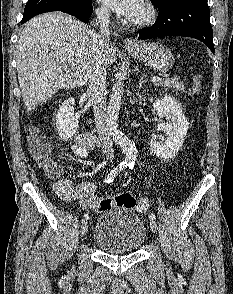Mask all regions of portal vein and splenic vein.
<instances>
[{"instance_id": "obj_1", "label": "portal vein and splenic vein", "mask_w": 233, "mask_h": 294, "mask_svg": "<svg viewBox=\"0 0 233 294\" xmlns=\"http://www.w3.org/2000/svg\"><path fill=\"white\" fill-rule=\"evenodd\" d=\"M152 80L158 82V81H161L162 78L157 77V76H154V77L152 78Z\"/></svg>"}]
</instances>
